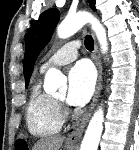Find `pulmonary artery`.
I'll use <instances>...</instances> for the list:
<instances>
[{
    "label": "pulmonary artery",
    "mask_w": 139,
    "mask_h": 150,
    "mask_svg": "<svg viewBox=\"0 0 139 150\" xmlns=\"http://www.w3.org/2000/svg\"><path fill=\"white\" fill-rule=\"evenodd\" d=\"M78 50L79 43L77 41L65 44L41 65L40 72L44 73L51 66L65 65L74 61L78 56Z\"/></svg>",
    "instance_id": "obj_1"
}]
</instances>
